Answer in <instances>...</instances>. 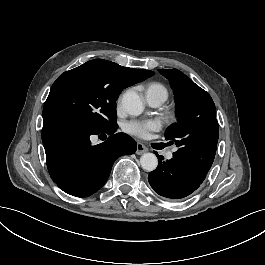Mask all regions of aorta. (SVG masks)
<instances>
[{"instance_id":"1","label":"aorta","mask_w":265,"mask_h":265,"mask_svg":"<svg viewBox=\"0 0 265 265\" xmlns=\"http://www.w3.org/2000/svg\"><path fill=\"white\" fill-rule=\"evenodd\" d=\"M122 108L130 115H140L144 109L143 102L139 95L133 91H127L121 99ZM140 164L144 171L152 172L158 166V159L155 154L145 153L140 157Z\"/></svg>"}]
</instances>
